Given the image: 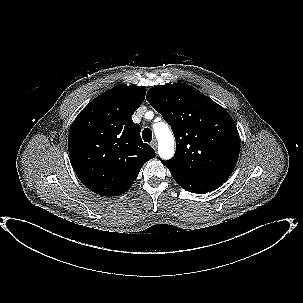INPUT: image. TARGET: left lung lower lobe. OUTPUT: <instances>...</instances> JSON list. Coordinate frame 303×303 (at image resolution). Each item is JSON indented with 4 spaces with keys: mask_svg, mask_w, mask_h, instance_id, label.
Listing matches in <instances>:
<instances>
[{
    "mask_svg": "<svg viewBox=\"0 0 303 303\" xmlns=\"http://www.w3.org/2000/svg\"><path fill=\"white\" fill-rule=\"evenodd\" d=\"M174 180L185 190L192 193H207L217 189L229 177L227 174H209L200 176L184 175L170 171Z\"/></svg>",
    "mask_w": 303,
    "mask_h": 303,
    "instance_id": "1",
    "label": "left lung lower lobe"
}]
</instances>
